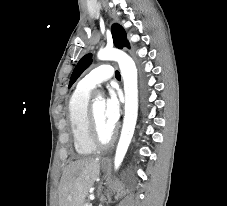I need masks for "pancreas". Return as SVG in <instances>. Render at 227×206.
<instances>
[{"label": "pancreas", "mask_w": 227, "mask_h": 206, "mask_svg": "<svg viewBox=\"0 0 227 206\" xmlns=\"http://www.w3.org/2000/svg\"><path fill=\"white\" fill-rule=\"evenodd\" d=\"M87 204H83L82 206H86Z\"/></svg>", "instance_id": "pancreas-1"}]
</instances>
